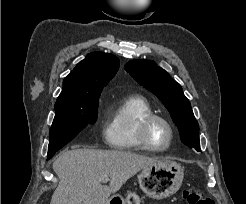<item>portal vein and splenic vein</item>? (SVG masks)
Here are the masks:
<instances>
[{
	"label": "portal vein and splenic vein",
	"mask_w": 246,
	"mask_h": 204,
	"mask_svg": "<svg viewBox=\"0 0 246 204\" xmlns=\"http://www.w3.org/2000/svg\"><path fill=\"white\" fill-rule=\"evenodd\" d=\"M110 179L107 177V178H105L104 180H103V182H108Z\"/></svg>",
	"instance_id": "portal-vein-and-splenic-vein-1"
}]
</instances>
